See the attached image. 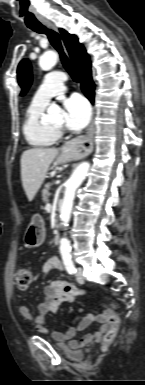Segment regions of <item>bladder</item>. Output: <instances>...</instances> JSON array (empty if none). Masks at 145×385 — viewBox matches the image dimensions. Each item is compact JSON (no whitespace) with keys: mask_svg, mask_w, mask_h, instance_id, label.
<instances>
[{"mask_svg":"<svg viewBox=\"0 0 145 385\" xmlns=\"http://www.w3.org/2000/svg\"><path fill=\"white\" fill-rule=\"evenodd\" d=\"M59 346L63 349H65V347L61 344H59ZM71 356L75 357V358H78V359H81L83 357V353L82 352H74V353H69Z\"/></svg>","mask_w":145,"mask_h":385,"instance_id":"bladder-1","label":"bladder"}]
</instances>
